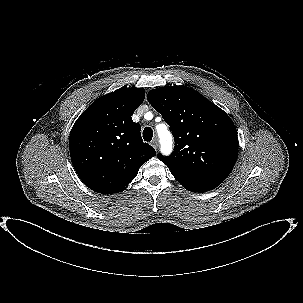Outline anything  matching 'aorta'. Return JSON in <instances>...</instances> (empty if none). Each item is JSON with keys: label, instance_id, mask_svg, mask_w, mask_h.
Masks as SVG:
<instances>
[{"label": "aorta", "instance_id": "aorta-1", "mask_svg": "<svg viewBox=\"0 0 303 303\" xmlns=\"http://www.w3.org/2000/svg\"><path fill=\"white\" fill-rule=\"evenodd\" d=\"M158 136L161 144V152L165 155H169L172 152L173 144L171 133L166 129H162L158 131Z\"/></svg>", "mask_w": 303, "mask_h": 303}]
</instances>
